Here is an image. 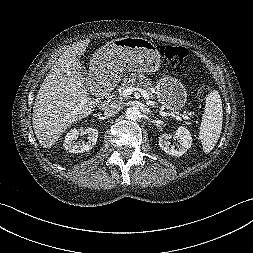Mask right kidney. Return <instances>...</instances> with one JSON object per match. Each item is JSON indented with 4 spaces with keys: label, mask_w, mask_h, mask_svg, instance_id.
<instances>
[{
    "label": "right kidney",
    "mask_w": 253,
    "mask_h": 253,
    "mask_svg": "<svg viewBox=\"0 0 253 253\" xmlns=\"http://www.w3.org/2000/svg\"><path fill=\"white\" fill-rule=\"evenodd\" d=\"M84 134L88 135V141L77 142L79 131L76 129H71L64 140L65 150L71 153H83L92 149L98 138V130L92 127H88L83 130Z\"/></svg>",
    "instance_id": "1"
}]
</instances>
